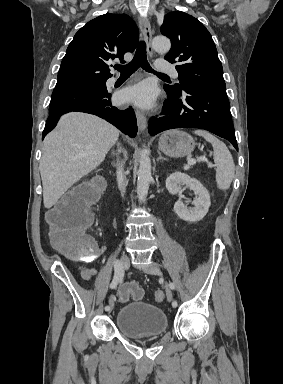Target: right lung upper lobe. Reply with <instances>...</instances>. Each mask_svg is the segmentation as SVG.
I'll list each match as a JSON object with an SVG mask.
<instances>
[{
  "instance_id": "right-lung-upper-lobe-1",
  "label": "right lung upper lobe",
  "mask_w": 283,
  "mask_h": 384,
  "mask_svg": "<svg viewBox=\"0 0 283 384\" xmlns=\"http://www.w3.org/2000/svg\"><path fill=\"white\" fill-rule=\"evenodd\" d=\"M138 35L125 14L107 13L89 21L69 44L55 89L106 82L112 76L109 63L134 51Z\"/></svg>"
}]
</instances>
